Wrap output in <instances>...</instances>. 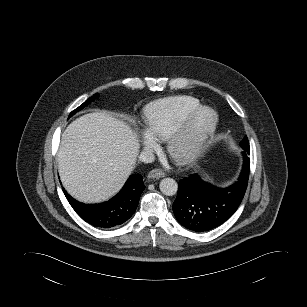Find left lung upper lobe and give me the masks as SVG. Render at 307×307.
Instances as JSON below:
<instances>
[{"instance_id": "obj_1", "label": "left lung upper lobe", "mask_w": 307, "mask_h": 307, "mask_svg": "<svg viewBox=\"0 0 307 307\" xmlns=\"http://www.w3.org/2000/svg\"><path fill=\"white\" fill-rule=\"evenodd\" d=\"M241 147L244 149L245 153L250 154V147L247 137L240 142Z\"/></svg>"}]
</instances>
